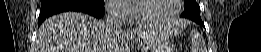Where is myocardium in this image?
Returning <instances> with one entry per match:
<instances>
[{"label": "myocardium", "mask_w": 261, "mask_h": 52, "mask_svg": "<svg viewBox=\"0 0 261 52\" xmlns=\"http://www.w3.org/2000/svg\"><path fill=\"white\" fill-rule=\"evenodd\" d=\"M147 0H138L132 2L133 12L138 22L150 23V24H164L173 21L180 13L182 0H174V10L163 18H153L142 15L139 11L138 2Z\"/></svg>", "instance_id": "1"}]
</instances>
